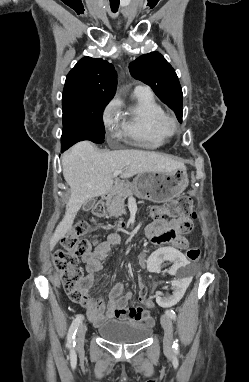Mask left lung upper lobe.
Returning a JSON list of instances; mask_svg holds the SVG:
<instances>
[{
	"mask_svg": "<svg viewBox=\"0 0 249 382\" xmlns=\"http://www.w3.org/2000/svg\"><path fill=\"white\" fill-rule=\"evenodd\" d=\"M131 75L151 86L155 94L167 104L182 121V90L178 77L158 52H151L138 57L129 65Z\"/></svg>",
	"mask_w": 249,
	"mask_h": 382,
	"instance_id": "left-lung-upper-lobe-1",
	"label": "left lung upper lobe"
}]
</instances>
